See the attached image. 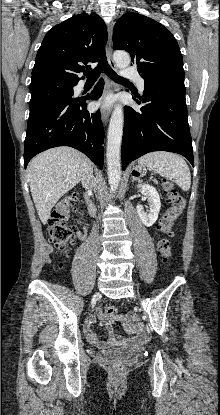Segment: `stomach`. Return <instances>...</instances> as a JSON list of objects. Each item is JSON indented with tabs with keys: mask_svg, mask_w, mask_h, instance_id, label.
<instances>
[{
	"mask_svg": "<svg viewBox=\"0 0 220 415\" xmlns=\"http://www.w3.org/2000/svg\"><path fill=\"white\" fill-rule=\"evenodd\" d=\"M135 170L138 172V171H140V168L138 166H136Z\"/></svg>",
	"mask_w": 220,
	"mask_h": 415,
	"instance_id": "1",
	"label": "stomach"
}]
</instances>
